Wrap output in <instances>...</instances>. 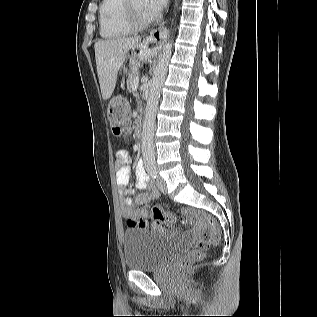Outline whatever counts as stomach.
<instances>
[{
  "label": "stomach",
  "mask_w": 317,
  "mask_h": 317,
  "mask_svg": "<svg viewBox=\"0 0 317 317\" xmlns=\"http://www.w3.org/2000/svg\"><path fill=\"white\" fill-rule=\"evenodd\" d=\"M141 55H124V65L115 72V91H127L130 80L129 77L132 72L136 71V66H141Z\"/></svg>",
  "instance_id": "0dacf381"
}]
</instances>
